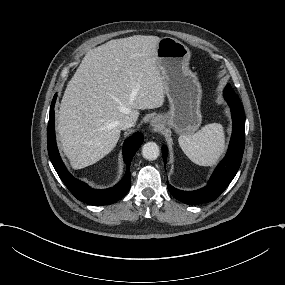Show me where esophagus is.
<instances>
[{"instance_id":"esophagus-1","label":"esophagus","mask_w":285,"mask_h":285,"mask_svg":"<svg viewBox=\"0 0 285 285\" xmlns=\"http://www.w3.org/2000/svg\"><path fill=\"white\" fill-rule=\"evenodd\" d=\"M151 124L153 125V124H155V120H152L151 121ZM162 129V125L160 124V123H157L156 125H155V127H154V130L155 131H160Z\"/></svg>"}]
</instances>
